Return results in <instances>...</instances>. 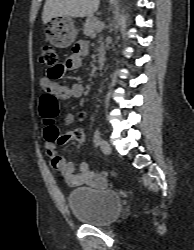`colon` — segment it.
Listing matches in <instances>:
<instances>
[{
    "mask_svg": "<svg viewBox=\"0 0 194 250\" xmlns=\"http://www.w3.org/2000/svg\"><path fill=\"white\" fill-rule=\"evenodd\" d=\"M40 62L50 67L49 75L51 78H59L58 72V54L53 46L45 44L40 50ZM40 111L42 117L54 119L58 114V102L56 97L50 93H44L40 98ZM67 136L78 142H82L83 134L81 130H74L67 134Z\"/></svg>",
    "mask_w": 194,
    "mask_h": 250,
    "instance_id": "obj_1",
    "label": "colon"
}]
</instances>
